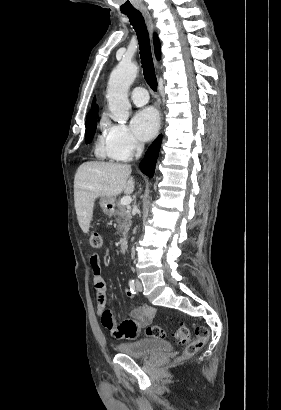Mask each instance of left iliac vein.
<instances>
[{
  "label": "left iliac vein",
  "instance_id": "obj_1",
  "mask_svg": "<svg viewBox=\"0 0 281 410\" xmlns=\"http://www.w3.org/2000/svg\"><path fill=\"white\" fill-rule=\"evenodd\" d=\"M136 287H137V290H138V291H142V283H141L140 281H138V282L136 283Z\"/></svg>",
  "mask_w": 281,
  "mask_h": 410
}]
</instances>
